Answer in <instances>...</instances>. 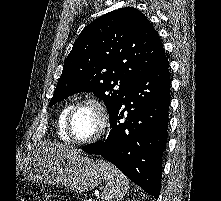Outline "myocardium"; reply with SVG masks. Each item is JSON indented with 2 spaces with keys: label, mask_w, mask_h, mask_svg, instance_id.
<instances>
[{
  "label": "myocardium",
  "mask_w": 221,
  "mask_h": 201,
  "mask_svg": "<svg viewBox=\"0 0 221 201\" xmlns=\"http://www.w3.org/2000/svg\"><path fill=\"white\" fill-rule=\"evenodd\" d=\"M84 105H91L96 109L100 118V127L97 133L93 135L92 137L88 139H84V140H78L74 138L72 135L71 122H72L75 112ZM109 119H110V116H109L108 109L99 98L93 97V96L85 97L71 106L66 117V123H65L66 134L70 142L77 144V145H86V144L94 143L106 133L108 126H109Z\"/></svg>",
  "instance_id": "f54148a6"
}]
</instances>
